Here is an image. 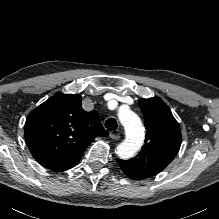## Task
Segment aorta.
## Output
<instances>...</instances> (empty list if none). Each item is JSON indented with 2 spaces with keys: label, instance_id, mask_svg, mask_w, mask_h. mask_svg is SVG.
<instances>
[{
  "label": "aorta",
  "instance_id": "762f6f07",
  "mask_svg": "<svg viewBox=\"0 0 219 219\" xmlns=\"http://www.w3.org/2000/svg\"><path fill=\"white\" fill-rule=\"evenodd\" d=\"M119 119L125 127L126 139L117 147L116 153L120 158L128 159L140 150L145 138V129L140 118L129 109L121 110Z\"/></svg>",
  "mask_w": 219,
  "mask_h": 219
}]
</instances>
